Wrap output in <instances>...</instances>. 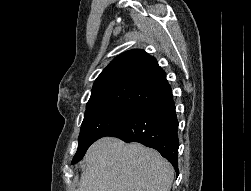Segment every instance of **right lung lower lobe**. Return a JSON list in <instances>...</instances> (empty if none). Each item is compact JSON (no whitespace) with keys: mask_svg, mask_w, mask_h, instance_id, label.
I'll return each instance as SVG.
<instances>
[{"mask_svg":"<svg viewBox=\"0 0 251 191\" xmlns=\"http://www.w3.org/2000/svg\"><path fill=\"white\" fill-rule=\"evenodd\" d=\"M177 127L178 120L170 89L106 136L117 137L127 143L139 142L156 149L174 166L178 176Z\"/></svg>","mask_w":251,"mask_h":191,"instance_id":"obj_1","label":"right lung lower lobe"}]
</instances>
